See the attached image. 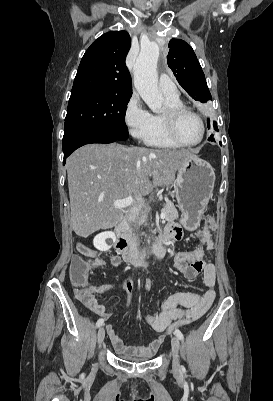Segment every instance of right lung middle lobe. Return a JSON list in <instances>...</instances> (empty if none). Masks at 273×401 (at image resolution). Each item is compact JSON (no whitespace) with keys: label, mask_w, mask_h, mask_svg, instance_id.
Instances as JSON below:
<instances>
[{"label":"right lung middle lobe","mask_w":273,"mask_h":401,"mask_svg":"<svg viewBox=\"0 0 273 401\" xmlns=\"http://www.w3.org/2000/svg\"><path fill=\"white\" fill-rule=\"evenodd\" d=\"M131 96L86 93L71 96L65 118L64 134L92 130L124 141L128 138L125 112Z\"/></svg>","instance_id":"obj_1"}]
</instances>
